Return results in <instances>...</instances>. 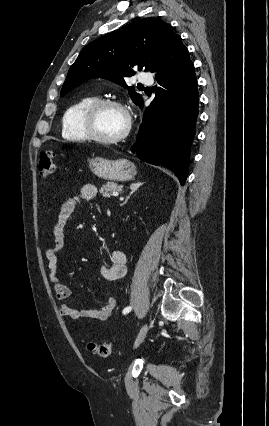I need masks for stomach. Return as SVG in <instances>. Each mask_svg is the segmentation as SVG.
Wrapping results in <instances>:
<instances>
[{
  "instance_id": "obj_1",
  "label": "stomach",
  "mask_w": 269,
  "mask_h": 426,
  "mask_svg": "<svg viewBox=\"0 0 269 426\" xmlns=\"http://www.w3.org/2000/svg\"><path fill=\"white\" fill-rule=\"evenodd\" d=\"M90 170L99 178L110 181H129L136 175L134 163L128 159L108 160L95 157L88 160Z\"/></svg>"
}]
</instances>
